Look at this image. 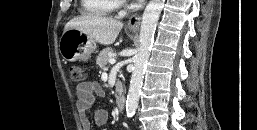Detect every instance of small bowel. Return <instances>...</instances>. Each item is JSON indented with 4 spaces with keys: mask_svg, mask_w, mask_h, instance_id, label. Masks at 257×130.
I'll use <instances>...</instances> for the list:
<instances>
[{
    "mask_svg": "<svg viewBox=\"0 0 257 130\" xmlns=\"http://www.w3.org/2000/svg\"><path fill=\"white\" fill-rule=\"evenodd\" d=\"M104 91L97 82H83L77 86V110L80 115V122L83 130L91 129V122L87 112L93 107L96 97H103ZM109 119L106 109L97 108L94 110V121L97 125H104Z\"/></svg>",
    "mask_w": 257,
    "mask_h": 130,
    "instance_id": "small-bowel-1",
    "label": "small bowel"
}]
</instances>
